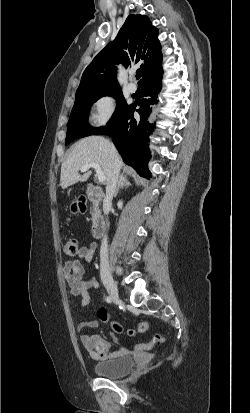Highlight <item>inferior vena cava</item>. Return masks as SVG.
Listing matches in <instances>:
<instances>
[{
    "label": "inferior vena cava",
    "mask_w": 250,
    "mask_h": 413,
    "mask_svg": "<svg viewBox=\"0 0 250 413\" xmlns=\"http://www.w3.org/2000/svg\"><path fill=\"white\" fill-rule=\"evenodd\" d=\"M111 153H112L113 160H114L113 161V172H112V177H111L110 182L106 185V196L103 201V209H104L105 214L107 213V207L111 206L112 199H113V196L116 190V185L118 184L119 171H120L118 153L113 144H112ZM100 261H101V267L108 269L109 263H108V248H107V236L106 235L104 236L102 243H101Z\"/></svg>",
    "instance_id": "1"
}]
</instances>
